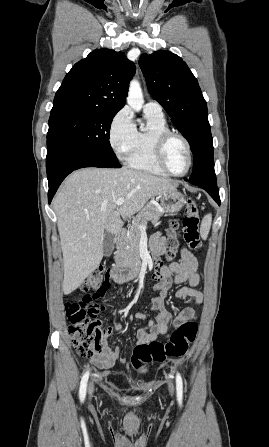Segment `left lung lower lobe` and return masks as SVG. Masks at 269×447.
Masks as SVG:
<instances>
[{
    "instance_id": "1",
    "label": "left lung lower lobe",
    "mask_w": 269,
    "mask_h": 447,
    "mask_svg": "<svg viewBox=\"0 0 269 447\" xmlns=\"http://www.w3.org/2000/svg\"><path fill=\"white\" fill-rule=\"evenodd\" d=\"M196 186H199L203 188L205 191H207L211 197L220 205V197H219V190L217 188V183L212 184H194Z\"/></svg>"
}]
</instances>
